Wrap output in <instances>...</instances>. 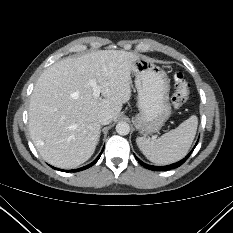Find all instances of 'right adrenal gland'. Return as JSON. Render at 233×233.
Instances as JSON below:
<instances>
[{
	"instance_id": "obj_1",
	"label": "right adrenal gland",
	"mask_w": 233,
	"mask_h": 233,
	"mask_svg": "<svg viewBox=\"0 0 233 233\" xmlns=\"http://www.w3.org/2000/svg\"><path fill=\"white\" fill-rule=\"evenodd\" d=\"M100 133H101V130H100ZM99 138H100V134H99ZM99 138H98V142H99Z\"/></svg>"
}]
</instances>
